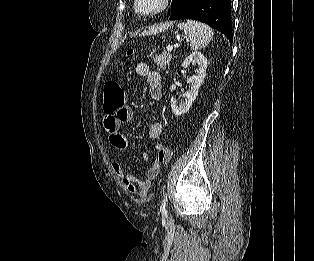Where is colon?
I'll list each match as a JSON object with an SVG mask.
<instances>
[{"label": "colon", "mask_w": 314, "mask_h": 261, "mask_svg": "<svg viewBox=\"0 0 314 261\" xmlns=\"http://www.w3.org/2000/svg\"><path fill=\"white\" fill-rule=\"evenodd\" d=\"M133 50L128 51V56L133 54ZM125 102V94L116 81H108L104 86V110L110 112V109H118L123 106ZM157 161L160 164H166L170 161L172 151L167 146L157 144L156 145Z\"/></svg>", "instance_id": "1"}]
</instances>
